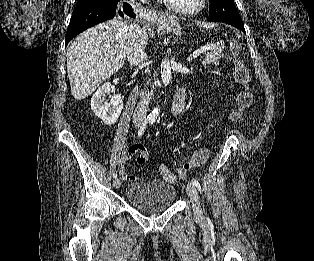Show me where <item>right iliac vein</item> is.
<instances>
[{
	"label": "right iliac vein",
	"instance_id": "right-iliac-vein-1",
	"mask_svg": "<svg viewBox=\"0 0 314 261\" xmlns=\"http://www.w3.org/2000/svg\"><path fill=\"white\" fill-rule=\"evenodd\" d=\"M135 125L138 126L139 124L136 123ZM120 185H121L120 179H119V178H115V179L113 180V186H114V188L118 189V188L120 187Z\"/></svg>",
	"mask_w": 314,
	"mask_h": 261
}]
</instances>
